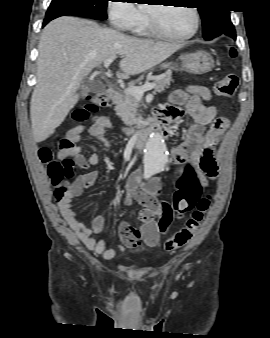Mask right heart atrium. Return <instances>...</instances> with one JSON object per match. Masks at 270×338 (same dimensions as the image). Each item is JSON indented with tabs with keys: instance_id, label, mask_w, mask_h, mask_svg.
Masks as SVG:
<instances>
[{
	"instance_id": "1",
	"label": "right heart atrium",
	"mask_w": 270,
	"mask_h": 338,
	"mask_svg": "<svg viewBox=\"0 0 270 338\" xmlns=\"http://www.w3.org/2000/svg\"><path fill=\"white\" fill-rule=\"evenodd\" d=\"M129 1L116 2L109 7V17L112 24L121 30H129L147 20L145 14Z\"/></svg>"
}]
</instances>
